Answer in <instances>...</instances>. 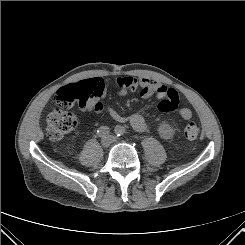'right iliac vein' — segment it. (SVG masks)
I'll list each match as a JSON object with an SVG mask.
<instances>
[{
	"label": "right iliac vein",
	"mask_w": 245,
	"mask_h": 245,
	"mask_svg": "<svg viewBox=\"0 0 245 245\" xmlns=\"http://www.w3.org/2000/svg\"><path fill=\"white\" fill-rule=\"evenodd\" d=\"M101 144H102V146H103L104 148H108V147L110 146V144H111V140H110L109 136L103 138V139L101 140Z\"/></svg>",
	"instance_id": "63e3f726"
}]
</instances>
